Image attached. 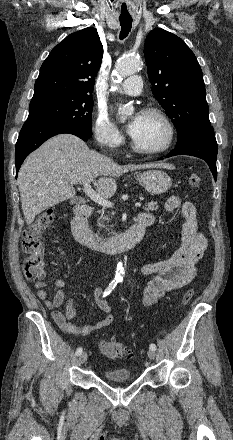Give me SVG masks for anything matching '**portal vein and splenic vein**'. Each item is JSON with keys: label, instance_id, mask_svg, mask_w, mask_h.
Here are the masks:
<instances>
[{"label": "portal vein and splenic vein", "instance_id": "obj_1", "mask_svg": "<svg viewBox=\"0 0 233 440\" xmlns=\"http://www.w3.org/2000/svg\"><path fill=\"white\" fill-rule=\"evenodd\" d=\"M83 191L85 192V194L92 199L95 203L103 206V207H108V208H112L113 207V203L107 199H105L102 195H100L99 193H97L96 191H94L91 188V182L87 181L84 183L83 186ZM141 203H135V207H141Z\"/></svg>", "mask_w": 233, "mask_h": 440}]
</instances>
